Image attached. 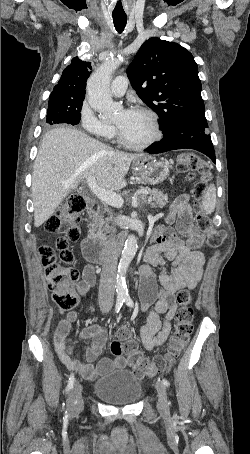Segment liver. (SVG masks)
I'll use <instances>...</instances> for the list:
<instances>
[{
	"mask_svg": "<svg viewBox=\"0 0 250 454\" xmlns=\"http://www.w3.org/2000/svg\"><path fill=\"white\" fill-rule=\"evenodd\" d=\"M140 156L114 151L75 129L55 128L47 132L32 172L35 227L47 221L70 191L89 176L105 190L124 188L130 164Z\"/></svg>",
	"mask_w": 250,
	"mask_h": 454,
	"instance_id": "obj_1",
	"label": "liver"
}]
</instances>
